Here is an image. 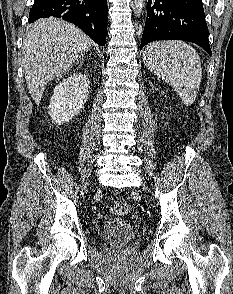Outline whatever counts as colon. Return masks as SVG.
<instances>
[{"label": "colon", "mask_w": 233, "mask_h": 294, "mask_svg": "<svg viewBox=\"0 0 233 294\" xmlns=\"http://www.w3.org/2000/svg\"><path fill=\"white\" fill-rule=\"evenodd\" d=\"M130 204L127 202H116L111 206V212L117 216H123L130 212Z\"/></svg>", "instance_id": "obj_1"}]
</instances>
